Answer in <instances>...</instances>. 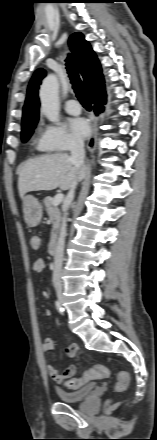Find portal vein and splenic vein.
I'll list each match as a JSON object with an SVG mask.
<instances>
[{"label":"portal vein and splenic vein","mask_w":157,"mask_h":440,"mask_svg":"<svg viewBox=\"0 0 157 440\" xmlns=\"http://www.w3.org/2000/svg\"><path fill=\"white\" fill-rule=\"evenodd\" d=\"M64 195L62 193L57 194L54 197L53 204L55 206L59 205L63 201Z\"/></svg>","instance_id":"portal-vein-and-splenic-vein-1"}]
</instances>
